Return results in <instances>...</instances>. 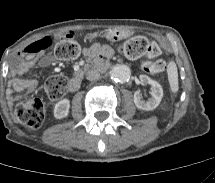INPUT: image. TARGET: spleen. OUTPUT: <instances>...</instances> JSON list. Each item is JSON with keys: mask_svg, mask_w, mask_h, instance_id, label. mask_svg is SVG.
Returning <instances> with one entry per match:
<instances>
[{"mask_svg": "<svg viewBox=\"0 0 215 183\" xmlns=\"http://www.w3.org/2000/svg\"><path fill=\"white\" fill-rule=\"evenodd\" d=\"M168 80H169L170 89L173 93V97H175V94L179 90L178 72H177V67L175 63H170L168 66Z\"/></svg>", "mask_w": 215, "mask_h": 183, "instance_id": "spleen-1", "label": "spleen"}]
</instances>
